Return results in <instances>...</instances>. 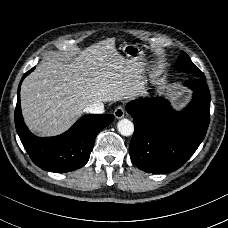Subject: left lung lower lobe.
I'll return each instance as SVG.
<instances>
[{
    "mask_svg": "<svg viewBox=\"0 0 228 228\" xmlns=\"http://www.w3.org/2000/svg\"><path fill=\"white\" fill-rule=\"evenodd\" d=\"M193 99L176 112L162 97L140 98L126 105L134 122L129 145L132 162L150 173L179 169L203 141L210 119V93L203 79L185 82Z\"/></svg>",
    "mask_w": 228,
    "mask_h": 228,
    "instance_id": "0a47b994",
    "label": "left lung lower lobe"
}]
</instances>
